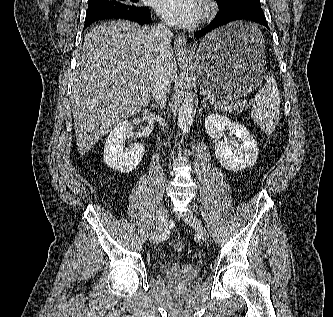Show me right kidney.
<instances>
[{
    "instance_id": "right-kidney-1",
    "label": "right kidney",
    "mask_w": 333,
    "mask_h": 317,
    "mask_svg": "<svg viewBox=\"0 0 333 317\" xmlns=\"http://www.w3.org/2000/svg\"><path fill=\"white\" fill-rule=\"evenodd\" d=\"M132 128L129 121L119 123L111 130L104 146L103 157L106 165L119 173L133 171L141 162L145 152L142 143L134 144L129 151L124 150L123 141L130 135Z\"/></svg>"
}]
</instances>
